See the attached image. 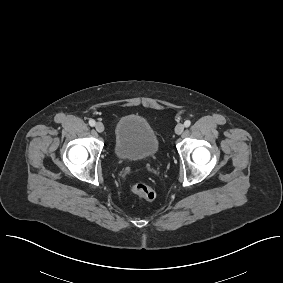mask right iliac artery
<instances>
[{"instance_id": "82829eb1", "label": "right iliac artery", "mask_w": 283, "mask_h": 283, "mask_svg": "<svg viewBox=\"0 0 283 283\" xmlns=\"http://www.w3.org/2000/svg\"><path fill=\"white\" fill-rule=\"evenodd\" d=\"M95 123H96L95 120H93V119L89 120V125L90 126H92V127L95 126Z\"/></svg>"}]
</instances>
